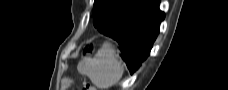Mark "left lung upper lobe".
Returning a JSON list of instances; mask_svg holds the SVG:
<instances>
[{"label": "left lung upper lobe", "instance_id": "5c2ea615", "mask_svg": "<svg viewBox=\"0 0 228 90\" xmlns=\"http://www.w3.org/2000/svg\"><path fill=\"white\" fill-rule=\"evenodd\" d=\"M133 0H95L93 6L94 26L102 33L116 23L125 11L131 9Z\"/></svg>", "mask_w": 228, "mask_h": 90}]
</instances>
